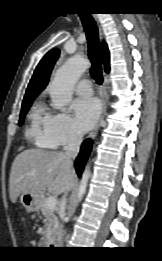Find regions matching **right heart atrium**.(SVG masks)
<instances>
[{
	"mask_svg": "<svg viewBox=\"0 0 162 261\" xmlns=\"http://www.w3.org/2000/svg\"><path fill=\"white\" fill-rule=\"evenodd\" d=\"M44 135L52 147L72 146L81 138L71 117L64 112L49 115L44 125Z\"/></svg>",
	"mask_w": 162,
	"mask_h": 261,
	"instance_id": "obj_1",
	"label": "right heart atrium"
}]
</instances>
